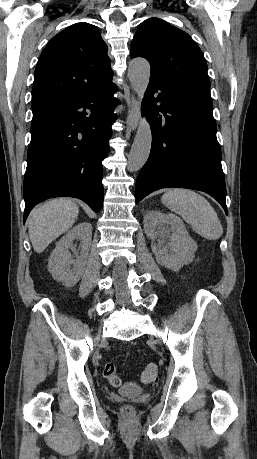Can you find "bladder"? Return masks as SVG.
<instances>
[{
    "label": "bladder",
    "mask_w": 257,
    "mask_h": 459,
    "mask_svg": "<svg viewBox=\"0 0 257 459\" xmlns=\"http://www.w3.org/2000/svg\"><path fill=\"white\" fill-rule=\"evenodd\" d=\"M120 392L125 395L135 396L142 393V388L134 384H127L121 388Z\"/></svg>",
    "instance_id": "bladder-1"
}]
</instances>
